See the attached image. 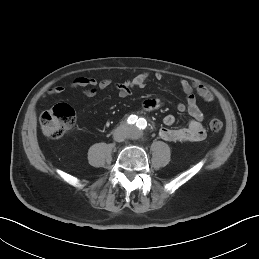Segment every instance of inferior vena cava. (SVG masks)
<instances>
[{
	"label": "inferior vena cava",
	"instance_id": "obj_1",
	"mask_svg": "<svg viewBox=\"0 0 259 259\" xmlns=\"http://www.w3.org/2000/svg\"><path fill=\"white\" fill-rule=\"evenodd\" d=\"M113 136L114 140L117 142H122L125 139V135L120 131H115Z\"/></svg>",
	"mask_w": 259,
	"mask_h": 259
}]
</instances>
